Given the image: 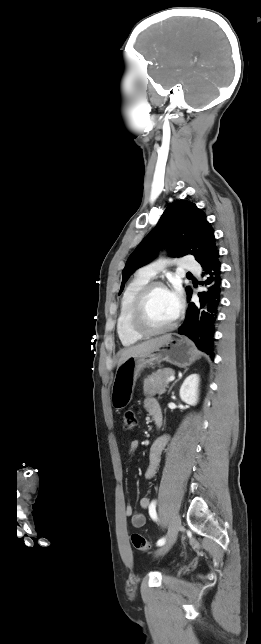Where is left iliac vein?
<instances>
[{
    "instance_id": "obj_1",
    "label": "left iliac vein",
    "mask_w": 261,
    "mask_h": 644,
    "mask_svg": "<svg viewBox=\"0 0 261 644\" xmlns=\"http://www.w3.org/2000/svg\"><path fill=\"white\" fill-rule=\"evenodd\" d=\"M180 528H181L180 516L178 514H174L169 521L167 541L163 547H161L156 551V555H163L171 548V546L175 543L177 539V535Z\"/></svg>"
}]
</instances>
